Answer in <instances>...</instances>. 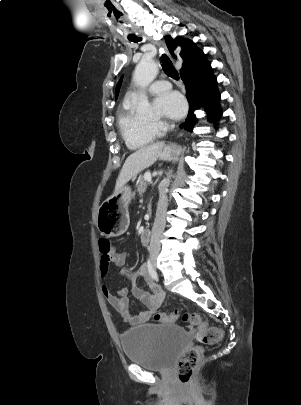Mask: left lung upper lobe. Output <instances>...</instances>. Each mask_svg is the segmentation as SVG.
<instances>
[{
	"label": "left lung upper lobe",
	"mask_w": 301,
	"mask_h": 405,
	"mask_svg": "<svg viewBox=\"0 0 301 405\" xmlns=\"http://www.w3.org/2000/svg\"><path fill=\"white\" fill-rule=\"evenodd\" d=\"M121 83H122V79L119 80V82H118V84L116 86V91H115L116 98L118 97L119 90H120V87H121Z\"/></svg>",
	"instance_id": "1"
}]
</instances>
